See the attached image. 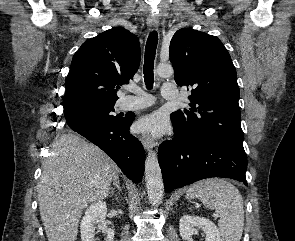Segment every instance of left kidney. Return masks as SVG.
Listing matches in <instances>:
<instances>
[{
	"label": "left kidney",
	"mask_w": 295,
	"mask_h": 241,
	"mask_svg": "<svg viewBox=\"0 0 295 241\" xmlns=\"http://www.w3.org/2000/svg\"><path fill=\"white\" fill-rule=\"evenodd\" d=\"M202 230L206 234V241H223L216 225L209 219L183 215L179 223L180 235L183 239L188 240L193 235Z\"/></svg>",
	"instance_id": "5707ae66"
}]
</instances>
